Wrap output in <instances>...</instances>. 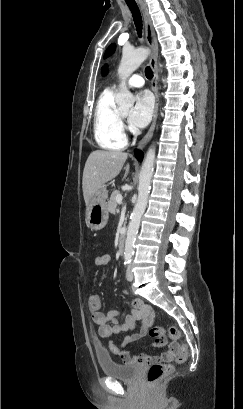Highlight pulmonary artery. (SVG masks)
<instances>
[{
    "label": "pulmonary artery",
    "mask_w": 243,
    "mask_h": 409,
    "mask_svg": "<svg viewBox=\"0 0 243 409\" xmlns=\"http://www.w3.org/2000/svg\"><path fill=\"white\" fill-rule=\"evenodd\" d=\"M128 85L131 87H142L144 84V79L141 75L133 74L127 81ZM116 86V85H114Z\"/></svg>",
    "instance_id": "e3ab8cb5"
}]
</instances>
